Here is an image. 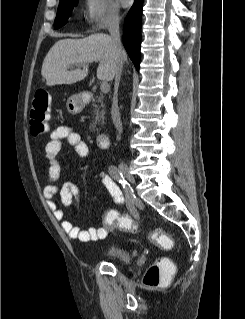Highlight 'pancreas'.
<instances>
[{"mask_svg": "<svg viewBox=\"0 0 245 319\" xmlns=\"http://www.w3.org/2000/svg\"><path fill=\"white\" fill-rule=\"evenodd\" d=\"M93 111H92V122L90 124V130L91 132H94L95 130H98L96 128L97 123H104V115H105V111H106V106L105 103L103 101V97L99 96L97 98V100L93 101Z\"/></svg>", "mask_w": 245, "mask_h": 319, "instance_id": "cf45deb5", "label": "pancreas"}]
</instances>
